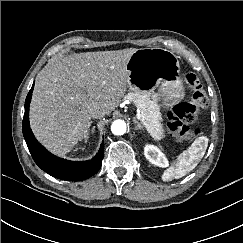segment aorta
Masks as SVG:
<instances>
[{"label":"aorta","instance_id":"obj_1","mask_svg":"<svg viewBox=\"0 0 243 243\" xmlns=\"http://www.w3.org/2000/svg\"><path fill=\"white\" fill-rule=\"evenodd\" d=\"M111 131L114 135H123L126 132V123L123 120H115L111 125Z\"/></svg>","mask_w":243,"mask_h":243}]
</instances>
